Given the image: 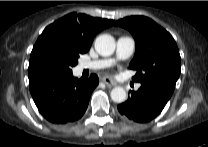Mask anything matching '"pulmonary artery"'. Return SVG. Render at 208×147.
Segmentation results:
<instances>
[{"mask_svg":"<svg viewBox=\"0 0 208 147\" xmlns=\"http://www.w3.org/2000/svg\"><path fill=\"white\" fill-rule=\"evenodd\" d=\"M135 50V41L128 36H121L116 42V52L113 58L97 59L92 61H85L80 64V69H103L113 65L117 60L128 59ZM140 84H136L139 88Z\"/></svg>","mask_w":208,"mask_h":147,"instance_id":"1","label":"pulmonary artery"}]
</instances>
